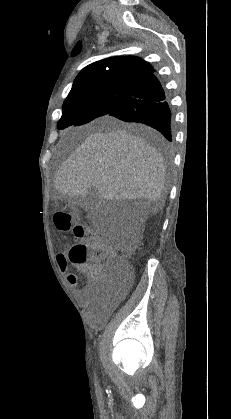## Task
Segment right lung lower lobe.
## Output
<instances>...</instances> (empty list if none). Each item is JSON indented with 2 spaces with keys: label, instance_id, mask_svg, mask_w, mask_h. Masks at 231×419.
I'll return each instance as SVG.
<instances>
[{
  "label": "right lung lower lobe",
  "instance_id": "right-lung-lower-lobe-1",
  "mask_svg": "<svg viewBox=\"0 0 231 419\" xmlns=\"http://www.w3.org/2000/svg\"><path fill=\"white\" fill-rule=\"evenodd\" d=\"M107 115L127 122H139L173 139V118L164 90L151 72L134 86L131 93Z\"/></svg>",
  "mask_w": 231,
  "mask_h": 419
}]
</instances>
